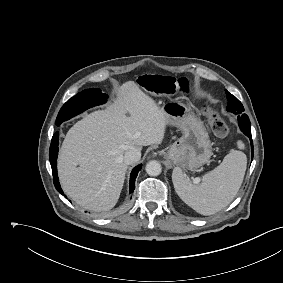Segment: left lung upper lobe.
<instances>
[{
    "instance_id": "1",
    "label": "left lung upper lobe",
    "mask_w": 283,
    "mask_h": 283,
    "mask_svg": "<svg viewBox=\"0 0 283 283\" xmlns=\"http://www.w3.org/2000/svg\"><path fill=\"white\" fill-rule=\"evenodd\" d=\"M226 94L228 99L227 110L235 114H242V112L244 111V107L241 102L228 91H226Z\"/></svg>"
}]
</instances>
